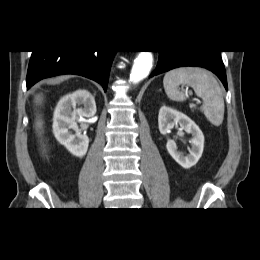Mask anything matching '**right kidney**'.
Instances as JSON below:
<instances>
[{
  "label": "right kidney",
  "mask_w": 260,
  "mask_h": 260,
  "mask_svg": "<svg viewBox=\"0 0 260 260\" xmlns=\"http://www.w3.org/2000/svg\"><path fill=\"white\" fill-rule=\"evenodd\" d=\"M95 113L94 97L86 90H77L62 97L55 108L52 126L54 136L76 157L85 156L89 145V138L78 128L76 118H89Z\"/></svg>",
  "instance_id": "obj_1"
}]
</instances>
